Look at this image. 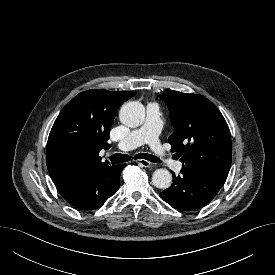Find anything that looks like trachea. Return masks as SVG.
<instances>
[{
  "label": "trachea",
  "mask_w": 275,
  "mask_h": 275,
  "mask_svg": "<svg viewBox=\"0 0 275 275\" xmlns=\"http://www.w3.org/2000/svg\"><path fill=\"white\" fill-rule=\"evenodd\" d=\"M135 158L145 159L154 163H160V160L156 156L147 153H139L135 155ZM110 160L112 164H119L131 160V157L127 154H114L110 157Z\"/></svg>",
  "instance_id": "1"
}]
</instances>
